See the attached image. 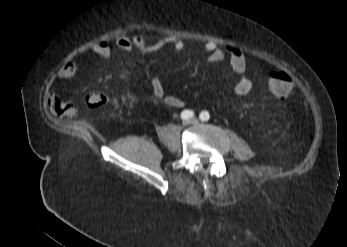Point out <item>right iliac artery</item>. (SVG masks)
I'll list each match as a JSON object with an SVG mask.
<instances>
[{"instance_id":"right-iliac-artery-1","label":"right iliac artery","mask_w":347,"mask_h":247,"mask_svg":"<svg viewBox=\"0 0 347 247\" xmlns=\"http://www.w3.org/2000/svg\"><path fill=\"white\" fill-rule=\"evenodd\" d=\"M194 116V112L191 111V110H184L182 111L181 113V119L183 120H187V119H190Z\"/></svg>"}]
</instances>
